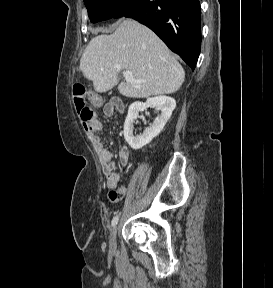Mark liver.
Here are the masks:
<instances>
[{
  "instance_id": "obj_1",
  "label": "liver",
  "mask_w": 273,
  "mask_h": 288,
  "mask_svg": "<svg viewBox=\"0 0 273 288\" xmlns=\"http://www.w3.org/2000/svg\"><path fill=\"white\" fill-rule=\"evenodd\" d=\"M80 70L99 93L117 85L121 71H132L133 79L140 83L118 85L120 94L130 98L175 93L185 78L182 66L163 41L132 19L122 20L111 35L92 38L81 57Z\"/></svg>"
}]
</instances>
